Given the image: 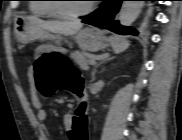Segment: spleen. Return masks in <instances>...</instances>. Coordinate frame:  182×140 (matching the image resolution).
I'll list each match as a JSON object with an SVG mask.
<instances>
[{"label": "spleen", "mask_w": 182, "mask_h": 140, "mask_svg": "<svg viewBox=\"0 0 182 140\" xmlns=\"http://www.w3.org/2000/svg\"><path fill=\"white\" fill-rule=\"evenodd\" d=\"M109 40L111 42V45H112L113 50H114L115 53L123 52L130 45L129 41L124 39V38L110 37Z\"/></svg>", "instance_id": "1"}]
</instances>
